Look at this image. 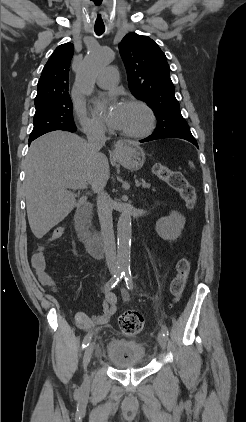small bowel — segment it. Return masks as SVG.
Here are the masks:
<instances>
[{
	"instance_id": "c3829d8e",
	"label": "small bowel",
	"mask_w": 246,
	"mask_h": 422,
	"mask_svg": "<svg viewBox=\"0 0 246 422\" xmlns=\"http://www.w3.org/2000/svg\"><path fill=\"white\" fill-rule=\"evenodd\" d=\"M40 278H41V281L45 285H48L51 288L56 289L55 284L50 276L46 274H41ZM123 298L125 300L129 298V295L126 291H123ZM116 303H117L116 295L111 291H108V292L104 291L103 314L89 316L84 313H78L75 318L77 325L83 330H90L97 325L106 324L109 321V319L117 311Z\"/></svg>"
}]
</instances>
